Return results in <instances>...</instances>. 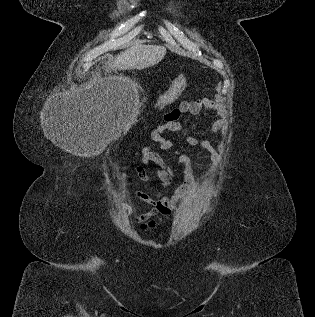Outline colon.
Returning <instances> with one entry per match:
<instances>
[{
    "instance_id": "colon-1",
    "label": "colon",
    "mask_w": 315,
    "mask_h": 317,
    "mask_svg": "<svg viewBox=\"0 0 315 317\" xmlns=\"http://www.w3.org/2000/svg\"><path fill=\"white\" fill-rule=\"evenodd\" d=\"M188 79L185 75L180 76L171 91L165 96V98L161 101L162 106H166L173 102L176 97L185 89L187 86Z\"/></svg>"
}]
</instances>
